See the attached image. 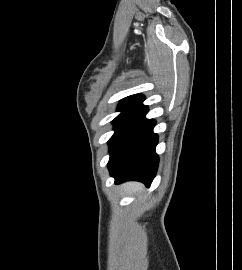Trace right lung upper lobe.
Returning a JSON list of instances; mask_svg holds the SVG:
<instances>
[{
	"instance_id": "cb5924a9",
	"label": "right lung upper lobe",
	"mask_w": 242,
	"mask_h": 270,
	"mask_svg": "<svg viewBox=\"0 0 242 270\" xmlns=\"http://www.w3.org/2000/svg\"><path fill=\"white\" fill-rule=\"evenodd\" d=\"M143 101H144V96L141 94H136V95H132V96L122 99L120 105L133 106V107L138 108L142 106Z\"/></svg>"
}]
</instances>
